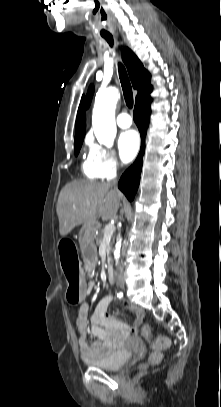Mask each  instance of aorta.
<instances>
[{
  "instance_id": "762f6f07",
  "label": "aorta",
  "mask_w": 221,
  "mask_h": 407,
  "mask_svg": "<svg viewBox=\"0 0 221 407\" xmlns=\"http://www.w3.org/2000/svg\"><path fill=\"white\" fill-rule=\"evenodd\" d=\"M119 97V91L115 87H110L99 91L95 98L92 126L98 142L107 147L113 145L116 136L115 108ZM120 248L121 239L116 243L114 252L116 259L119 257Z\"/></svg>"
}]
</instances>
